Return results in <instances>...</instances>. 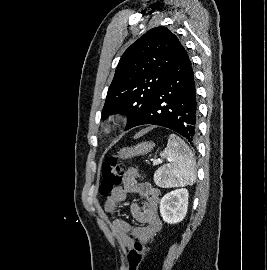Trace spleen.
Here are the masks:
<instances>
[{
    "mask_svg": "<svg viewBox=\"0 0 267 270\" xmlns=\"http://www.w3.org/2000/svg\"><path fill=\"white\" fill-rule=\"evenodd\" d=\"M161 156L168 163L155 173L154 181L157 185L168 188L192 185L195 182V160L191 150L180 137L171 134Z\"/></svg>",
    "mask_w": 267,
    "mask_h": 270,
    "instance_id": "3e777b00",
    "label": "spleen"
}]
</instances>
